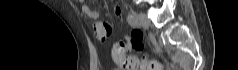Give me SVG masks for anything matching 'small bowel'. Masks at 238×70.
Returning a JSON list of instances; mask_svg holds the SVG:
<instances>
[{
	"mask_svg": "<svg viewBox=\"0 0 238 70\" xmlns=\"http://www.w3.org/2000/svg\"><path fill=\"white\" fill-rule=\"evenodd\" d=\"M80 4H81V9L83 11V13L85 15H87L88 17L92 18V19H97L99 17V13L92 9L87 3L85 0H79ZM114 12L115 14L120 17L121 16V9L119 7H116L114 9ZM111 32V27L109 24L107 23H104V22H97L94 24V34H95V37L100 40V41H103L105 40L108 35L110 34ZM126 48H125V52L129 49H131L129 47V43L126 44ZM115 60V59H114Z\"/></svg>",
	"mask_w": 238,
	"mask_h": 70,
	"instance_id": "obj_1",
	"label": "small bowel"
}]
</instances>
